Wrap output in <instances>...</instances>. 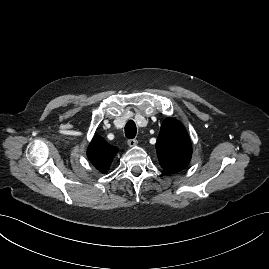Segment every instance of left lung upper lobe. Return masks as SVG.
<instances>
[{
  "label": "left lung upper lobe",
  "mask_w": 269,
  "mask_h": 269,
  "mask_svg": "<svg viewBox=\"0 0 269 269\" xmlns=\"http://www.w3.org/2000/svg\"><path fill=\"white\" fill-rule=\"evenodd\" d=\"M161 167L170 173L183 170L191 160L192 146L184 126L173 118L163 121L156 142Z\"/></svg>",
  "instance_id": "5c2ea615"
}]
</instances>
